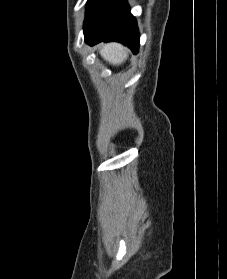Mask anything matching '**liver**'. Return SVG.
Returning <instances> with one entry per match:
<instances>
[{
	"label": "liver",
	"instance_id": "obj_1",
	"mask_svg": "<svg viewBox=\"0 0 227 279\" xmlns=\"http://www.w3.org/2000/svg\"><path fill=\"white\" fill-rule=\"evenodd\" d=\"M100 54L112 65H120L128 57L127 49L118 43H108L101 45Z\"/></svg>",
	"mask_w": 227,
	"mask_h": 279
}]
</instances>
